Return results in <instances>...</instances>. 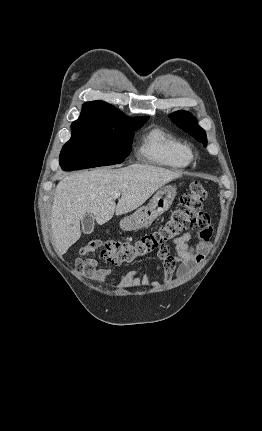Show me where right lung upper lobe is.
<instances>
[{
  "mask_svg": "<svg viewBox=\"0 0 262 431\" xmlns=\"http://www.w3.org/2000/svg\"><path fill=\"white\" fill-rule=\"evenodd\" d=\"M120 110L103 101L86 102L78 120L72 124L108 123L114 120L128 119Z\"/></svg>",
  "mask_w": 262,
  "mask_h": 431,
  "instance_id": "1",
  "label": "right lung upper lobe"
}]
</instances>
